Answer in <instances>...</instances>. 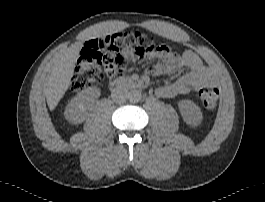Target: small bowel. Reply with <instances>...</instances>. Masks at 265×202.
I'll return each mask as SVG.
<instances>
[{
	"label": "small bowel",
	"mask_w": 265,
	"mask_h": 202,
	"mask_svg": "<svg viewBox=\"0 0 265 202\" xmlns=\"http://www.w3.org/2000/svg\"><path fill=\"white\" fill-rule=\"evenodd\" d=\"M99 39L100 38H93L86 41L81 49V55L83 57L91 55L97 48ZM157 58L159 62L150 66L146 70V74L159 76L175 73L182 67H186L188 69V71L179 77L175 82L157 89L156 94L160 98H175L179 95L188 94L202 87L214 84L212 70L205 66L200 58L191 50H187L181 55H176L166 51Z\"/></svg>",
	"instance_id": "1"
}]
</instances>
